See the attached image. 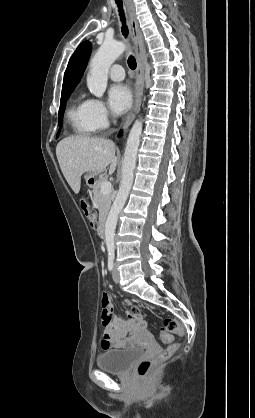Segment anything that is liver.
<instances>
[{"label":"liver","instance_id":"1","mask_svg":"<svg viewBox=\"0 0 255 418\" xmlns=\"http://www.w3.org/2000/svg\"><path fill=\"white\" fill-rule=\"evenodd\" d=\"M56 155L66 181L76 194L85 172L99 174L110 165L112 174L118 162L114 142L98 137H66L57 144Z\"/></svg>","mask_w":255,"mask_h":418}]
</instances>
